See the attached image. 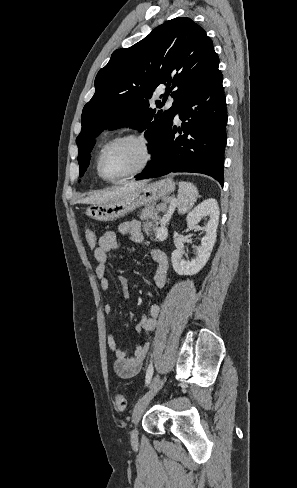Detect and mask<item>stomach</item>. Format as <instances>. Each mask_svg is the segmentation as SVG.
<instances>
[{"mask_svg": "<svg viewBox=\"0 0 297 488\" xmlns=\"http://www.w3.org/2000/svg\"><path fill=\"white\" fill-rule=\"evenodd\" d=\"M175 185L170 178L146 184L134 191L125 192L117 199L92 204L86 208V215L94 220L108 222L124 217L140 206H150L159 200L167 199Z\"/></svg>", "mask_w": 297, "mask_h": 488, "instance_id": "0dacf381", "label": "stomach"}]
</instances>
